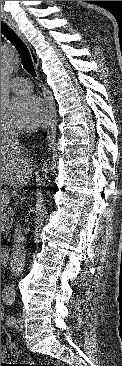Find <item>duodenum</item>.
Returning <instances> with one entry per match:
<instances>
[{
    "mask_svg": "<svg viewBox=\"0 0 122 366\" xmlns=\"http://www.w3.org/2000/svg\"><path fill=\"white\" fill-rule=\"evenodd\" d=\"M8 256V252L7 251H1V258H6Z\"/></svg>",
    "mask_w": 122,
    "mask_h": 366,
    "instance_id": "duodenum-1",
    "label": "duodenum"
}]
</instances>
